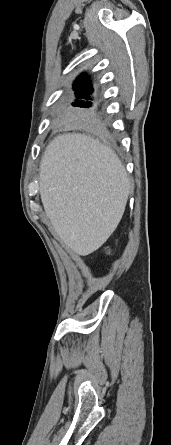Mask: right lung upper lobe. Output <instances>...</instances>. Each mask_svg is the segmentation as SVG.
<instances>
[{
    "label": "right lung upper lobe",
    "instance_id": "right-lung-upper-lobe-1",
    "mask_svg": "<svg viewBox=\"0 0 171 445\" xmlns=\"http://www.w3.org/2000/svg\"><path fill=\"white\" fill-rule=\"evenodd\" d=\"M73 89L76 94H91L93 91L91 82L89 81V78L86 76V74H81L78 76L74 83H73Z\"/></svg>",
    "mask_w": 171,
    "mask_h": 445
}]
</instances>
